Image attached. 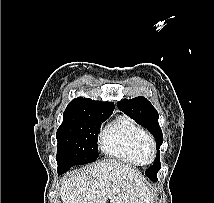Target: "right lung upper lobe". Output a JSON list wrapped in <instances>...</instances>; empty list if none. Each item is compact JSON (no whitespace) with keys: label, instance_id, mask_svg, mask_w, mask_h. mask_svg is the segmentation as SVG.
Listing matches in <instances>:
<instances>
[{"label":"right lung upper lobe","instance_id":"right-lung-upper-lobe-1","mask_svg":"<svg viewBox=\"0 0 214 203\" xmlns=\"http://www.w3.org/2000/svg\"><path fill=\"white\" fill-rule=\"evenodd\" d=\"M66 109H86L98 114L111 115L114 109L112 102L94 101L88 98L73 99Z\"/></svg>","mask_w":214,"mask_h":203}]
</instances>
